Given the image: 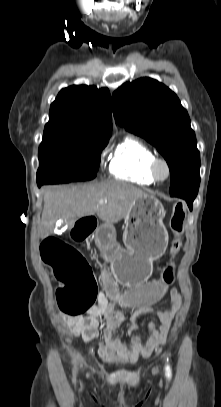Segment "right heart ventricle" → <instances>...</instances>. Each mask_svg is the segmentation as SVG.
Here are the masks:
<instances>
[{
	"label": "right heart ventricle",
	"instance_id": "right-heart-ventricle-1",
	"mask_svg": "<svg viewBox=\"0 0 221 407\" xmlns=\"http://www.w3.org/2000/svg\"><path fill=\"white\" fill-rule=\"evenodd\" d=\"M156 158L153 150L134 137H126L115 149L110 173L116 179L149 186L155 183L150 164Z\"/></svg>",
	"mask_w": 221,
	"mask_h": 407
}]
</instances>
